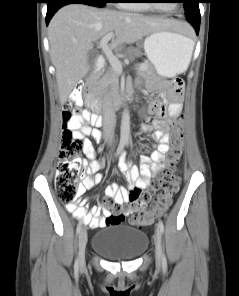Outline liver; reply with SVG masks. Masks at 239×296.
<instances>
[{
    "instance_id": "obj_1",
    "label": "liver",
    "mask_w": 239,
    "mask_h": 296,
    "mask_svg": "<svg viewBox=\"0 0 239 296\" xmlns=\"http://www.w3.org/2000/svg\"><path fill=\"white\" fill-rule=\"evenodd\" d=\"M186 26L176 20L148 17L139 13L100 9L84 4H69L59 9L50 21L48 38L51 60L56 69L60 101L64 103L76 84L89 72L87 58L93 43L115 32L111 47L135 43L153 32Z\"/></svg>"
}]
</instances>
